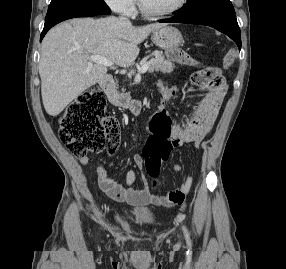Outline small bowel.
Masks as SVG:
<instances>
[{
    "instance_id": "small-bowel-1",
    "label": "small bowel",
    "mask_w": 286,
    "mask_h": 269,
    "mask_svg": "<svg viewBox=\"0 0 286 269\" xmlns=\"http://www.w3.org/2000/svg\"><path fill=\"white\" fill-rule=\"evenodd\" d=\"M226 89L227 88H225V90ZM161 94L162 102L158 111H169L173 93L170 89L162 88ZM205 100H207V96L192 108L184 125L170 126L172 138L176 143L175 147L191 143L194 147L199 148L202 145V139L213 129L220 110H203ZM133 161L136 168L139 171H142L145 166L144 156L137 154L134 156ZM88 162L89 160L86 156L80 158V163L82 165L85 166ZM172 168L175 172L182 171V166L180 164H174ZM135 179L136 173L134 171H130L127 174L125 183H120L112 180L108 176L105 167L102 166L98 170V185L103 192L117 201L140 205L152 204L166 207L180 206L183 203L179 199L181 192L184 191L187 193L193 182V178L188 176L179 189L168 194H153L148 188L149 182L145 175L142 174L141 176L144 185V188L142 189L131 187Z\"/></svg>"
}]
</instances>
